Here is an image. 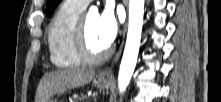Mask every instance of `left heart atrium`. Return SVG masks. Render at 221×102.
<instances>
[{
    "mask_svg": "<svg viewBox=\"0 0 221 102\" xmlns=\"http://www.w3.org/2000/svg\"><path fill=\"white\" fill-rule=\"evenodd\" d=\"M119 20L112 7L107 6L98 17L97 34L102 43L109 46L115 39Z\"/></svg>",
    "mask_w": 221,
    "mask_h": 102,
    "instance_id": "left-heart-atrium-1",
    "label": "left heart atrium"
}]
</instances>
